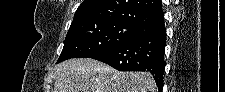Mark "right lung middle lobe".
<instances>
[{"mask_svg": "<svg viewBox=\"0 0 225 92\" xmlns=\"http://www.w3.org/2000/svg\"><path fill=\"white\" fill-rule=\"evenodd\" d=\"M141 30L120 22L82 24L69 29L57 63L76 57H89L128 42Z\"/></svg>", "mask_w": 225, "mask_h": 92, "instance_id": "dd1d6c3e", "label": "right lung middle lobe"}]
</instances>
